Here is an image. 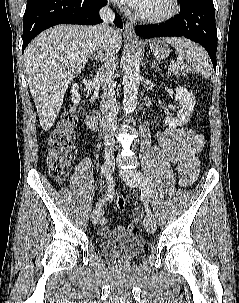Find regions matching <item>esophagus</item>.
I'll list each match as a JSON object with an SVG mask.
<instances>
[{"mask_svg":"<svg viewBox=\"0 0 239 303\" xmlns=\"http://www.w3.org/2000/svg\"><path fill=\"white\" fill-rule=\"evenodd\" d=\"M124 35L130 39H138L135 34V28L131 22H126Z\"/></svg>","mask_w":239,"mask_h":303,"instance_id":"1","label":"esophagus"}]
</instances>
